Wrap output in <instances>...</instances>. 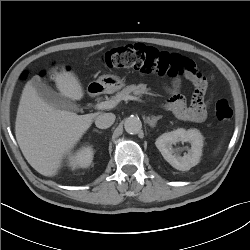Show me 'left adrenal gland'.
Segmentation results:
<instances>
[{
    "label": "left adrenal gland",
    "instance_id": "left-adrenal-gland-1",
    "mask_svg": "<svg viewBox=\"0 0 250 250\" xmlns=\"http://www.w3.org/2000/svg\"><path fill=\"white\" fill-rule=\"evenodd\" d=\"M162 116L159 115V116H152L151 119L150 117H147V123L150 125V127H155L156 126V123L159 119H161Z\"/></svg>",
    "mask_w": 250,
    "mask_h": 250
}]
</instances>
